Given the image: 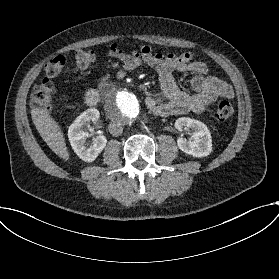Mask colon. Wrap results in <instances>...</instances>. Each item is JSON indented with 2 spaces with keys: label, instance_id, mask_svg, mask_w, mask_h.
I'll return each mask as SVG.
<instances>
[{
  "label": "colon",
  "instance_id": "obj_1",
  "mask_svg": "<svg viewBox=\"0 0 279 279\" xmlns=\"http://www.w3.org/2000/svg\"><path fill=\"white\" fill-rule=\"evenodd\" d=\"M94 61V54L85 49L76 51L74 57V69L85 70ZM65 62L62 58L56 57L49 60L44 66L46 81L36 87L33 91L31 102L36 108L49 109L55 93L54 85L50 81L63 73ZM233 107L228 101H221L217 104L215 118L218 121H225L231 117Z\"/></svg>",
  "mask_w": 279,
  "mask_h": 279
}]
</instances>
